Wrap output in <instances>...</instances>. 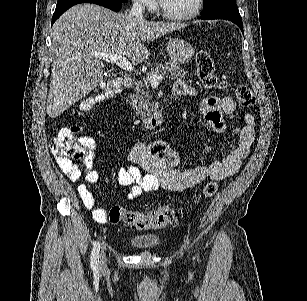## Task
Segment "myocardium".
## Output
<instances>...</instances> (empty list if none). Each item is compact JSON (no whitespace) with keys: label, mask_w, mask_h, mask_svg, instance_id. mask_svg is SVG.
Returning <instances> with one entry per match:
<instances>
[{"label":"myocardium","mask_w":307,"mask_h":301,"mask_svg":"<svg viewBox=\"0 0 307 301\" xmlns=\"http://www.w3.org/2000/svg\"><path fill=\"white\" fill-rule=\"evenodd\" d=\"M201 2L202 0H195L191 11H170L166 8V4L158 0L153 12H160L159 16L166 18L167 22H185V18H193L197 15Z\"/></svg>","instance_id":"f54148a6"}]
</instances>
